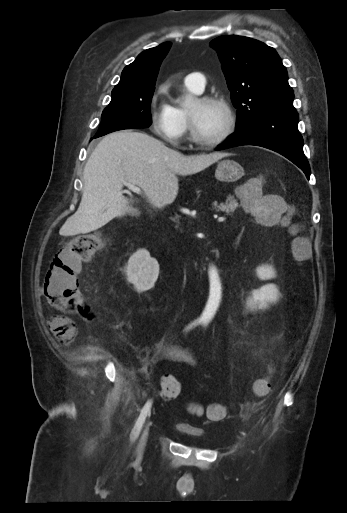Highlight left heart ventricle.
Segmentation results:
<instances>
[{"label":"left heart ventricle","instance_id":"left-heart-ventricle-1","mask_svg":"<svg viewBox=\"0 0 347 513\" xmlns=\"http://www.w3.org/2000/svg\"><path fill=\"white\" fill-rule=\"evenodd\" d=\"M188 113L198 135L203 139H213L225 129L227 119L224 109L213 103L195 101Z\"/></svg>","mask_w":347,"mask_h":513}]
</instances>
